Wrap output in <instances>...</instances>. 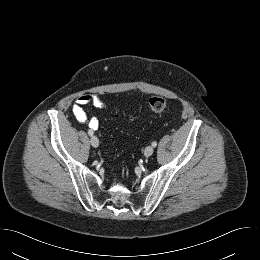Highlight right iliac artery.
Instances as JSON below:
<instances>
[{"label":"right iliac artery","mask_w":260,"mask_h":260,"mask_svg":"<svg viewBox=\"0 0 260 260\" xmlns=\"http://www.w3.org/2000/svg\"><path fill=\"white\" fill-rule=\"evenodd\" d=\"M88 134H89V136H92L93 135V131L89 130Z\"/></svg>","instance_id":"obj_1"}]
</instances>
